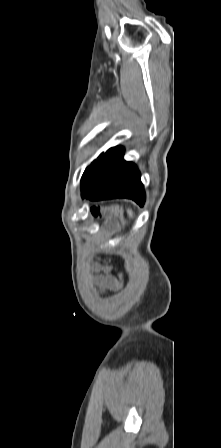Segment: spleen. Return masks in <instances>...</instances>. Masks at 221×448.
I'll list each match as a JSON object with an SVG mask.
<instances>
[{"instance_id":"spleen-1","label":"spleen","mask_w":221,"mask_h":448,"mask_svg":"<svg viewBox=\"0 0 221 448\" xmlns=\"http://www.w3.org/2000/svg\"><path fill=\"white\" fill-rule=\"evenodd\" d=\"M128 214L130 217H133V212L131 210H128Z\"/></svg>"}]
</instances>
